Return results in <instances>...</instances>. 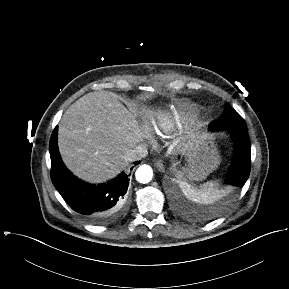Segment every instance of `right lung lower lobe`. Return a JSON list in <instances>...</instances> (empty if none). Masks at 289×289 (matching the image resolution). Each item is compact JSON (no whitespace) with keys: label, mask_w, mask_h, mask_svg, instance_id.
<instances>
[{"label":"right lung lower lobe","mask_w":289,"mask_h":289,"mask_svg":"<svg viewBox=\"0 0 289 289\" xmlns=\"http://www.w3.org/2000/svg\"><path fill=\"white\" fill-rule=\"evenodd\" d=\"M49 151L51 179L67 204L87 222L105 224L117 220L124 212L129 186L124 172L106 184L93 185L79 180L63 164L57 146V127L54 129ZM140 161L135 162V164Z\"/></svg>","instance_id":"98d812e1"}]
</instances>
